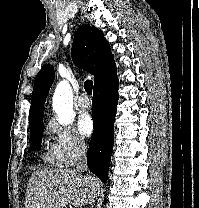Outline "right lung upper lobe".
Returning a JSON list of instances; mask_svg holds the SVG:
<instances>
[{"instance_id": "right-lung-upper-lobe-1", "label": "right lung upper lobe", "mask_w": 199, "mask_h": 208, "mask_svg": "<svg viewBox=\"0 0 199 208\" xmlns=\"http://www.w3.org/2000/svg\"><path fill=\"white\" fill-rule=\"evenodd\" d=\"M71 54L76 66L95 76L94 88L117 78L110 45L95 26L83 24L78 28ZM54 78V68L50 64L44 65L35 78L29 115L30 130L43 125L44 102Z\"/></svg>"}]
</instances>
